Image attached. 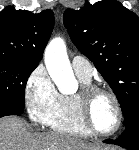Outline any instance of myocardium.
Wrapping results in <instances>:
<instances>
[{"label": "myocardium", "instance_id": "1", "mask_svg": "<svg viewBox=\"0 0 139 150\" xmlns=\"http://www.w3.org/2000/svg\"><path fill=\"white\" fill-rule=\"evenodd\" d=\"M102 94L108 96L113 101L117 112L116 125L111 131L108 132H101L97 130L91 118L92 103L98 95ZM77 100L81 121L92 135L98 137H110L115 135L120 130L123 123V110L121 103L114 92L96 85H88L84 86L77 94Z\"/></svg>", "mask_w": 139, "mask_h": 150}]
</instances>
